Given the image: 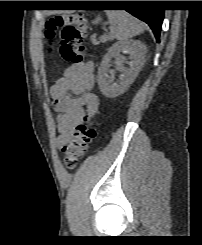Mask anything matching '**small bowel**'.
I'll list each match as a JSON object with an SVG mask.
<instances>
[{"instance_id":"obj_1","label":"small bowel","mask_w":202,"mask_h":245,"mask_svg":"<svg viewBox=\"0 0 202 245\" xmlns=\"http://www.w3.org/2000/svg\"><path fill=\"white\" fill-rule=\"evenodd\" d=\"M94 65L91 62L72 64L51 87L58 113L57 148L62 149L74 137L86 117L92 119L99 109V99L92 92Z\"/></svg>"}]
</instances>
